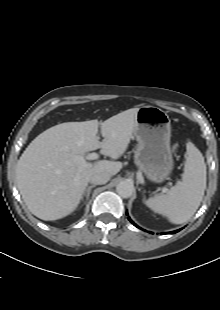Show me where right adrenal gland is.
Here are the masks:
<instances>
[{
	"mask_svg": "<svg viewBox=\"0 0 220 310\" xmlns=\"http://www.w3.org/2000/svg\"><path fill=\"white\" fill-rule=\"evenodd\" d=\"M96 187V184H93V185H90L86 188V190L84 191L83 195H82V200L84 197H86V200L88 201L89 200V196H90V192H91V189Z\"/></svg>",
	"mask_w": 220,
	"mask_h": 310,
	"instance_id": "right-adrenal-gland-1",
	"label": "right adrenal gland"
}]
</instances>
